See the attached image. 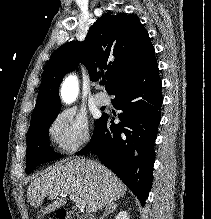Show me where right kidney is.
<instances>
[{
  "label": "right kidney",
  "instance_id": "obj_1",
  "mask_svg": "<svg viewBox=\"0 0 211 219\" xmlns=\"http://www.w3.org/2000/svg\"><path fill=\"white\" fill-rule=\"evenodd\" d=\"M115 219H129L128 213L126 211H121L117 214Z\"/></svg>",
  "mask_w": 211,
  "mask_h": 219
}]
</instances>
